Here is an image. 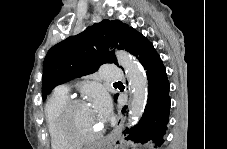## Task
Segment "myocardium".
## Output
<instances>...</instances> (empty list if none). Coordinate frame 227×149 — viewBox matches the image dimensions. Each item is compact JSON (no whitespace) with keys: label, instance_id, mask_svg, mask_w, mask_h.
<instances>
[{"label":"myocardium","instance_id":"f54148a6","mask_svg":"<svg viewBox=\"0 0 227 149\" xmlns=\"http://www.w3.org/2000/svg\"><path fill=\"white\" fill-rule=\"evenodd\" d=\"M82 104H85V100L83 99H69L62 106L58 115V126L60 133L62 137L72 145H91L100 138L103 130V128H101L96 134L88 137L77 136L70 130L71 114L77 106Z\"/></svg>","mask_w":227,"mask_h":149}]
</instances>
